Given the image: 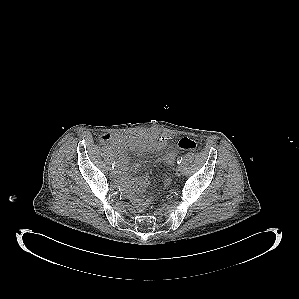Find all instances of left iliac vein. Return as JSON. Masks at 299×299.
Instances as JSON below:
<instances>
[{"instance_id":"obj_1","label":"left iliac vein","mask_w":299,"mask_h":299,"mask_svg":"<svg viewBox=\"0 0 299 299\" xmlns=\"http://www.w3.org/2000/svg\"><path fill=\"white\" fill-rule=\"evenodd\" d=\"M176 174H177V176H180L182 174V166L181 165L177 166V168H176Z\"/></svg>"}]
</instances>
